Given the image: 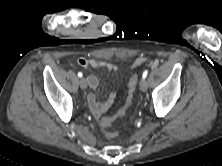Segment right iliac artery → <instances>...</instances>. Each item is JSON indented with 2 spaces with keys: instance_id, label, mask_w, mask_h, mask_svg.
<instances>
[{
  "instance_id": "1",
  "label": "right iliac artery",
  "mask_w": 222,
  "mask_h": 166,
  "mask_svg": "<svg viewBox=\"0 0 222 166\" xmlns=\"http://www.w3.org/2000/svg\"><path fill=\"white\" fill-rule=\"evenodd\" d=\"M82 76H83V74H82L81 72H79V73H78V77L81 78Z\"/></svg>"
}]
</instances>
